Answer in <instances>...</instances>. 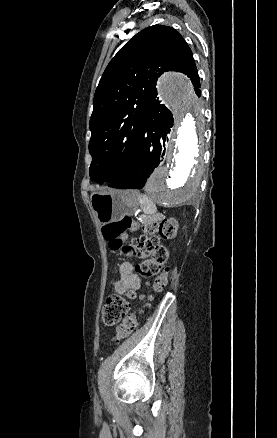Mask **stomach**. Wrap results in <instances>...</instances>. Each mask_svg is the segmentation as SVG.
Wrapping results in <instances>:
<instances>
[{
	"instance_id": "1",
	"label": "stomach",
	"mask_w": 277,
	"mask_h": 438,
	"mask_svg": "<svg viewBox=\"0 0 277 438\" xmlns=\"http://www.w3.org/2000/svg\"><path fill=\"white\" fill-rule=\"evenodd\" d=\"M91 207L101 225L117 222L133 215L139 207L137 198L129 190L112 189L96 192L90 198Z\"/></svg>"
}]
</instances>
